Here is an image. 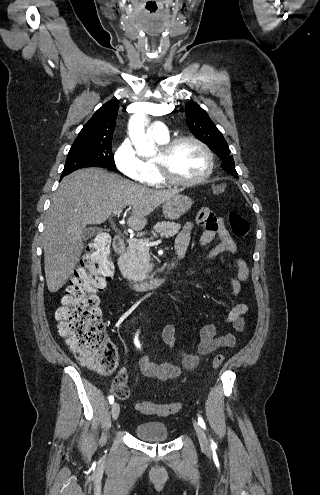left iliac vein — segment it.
<instances>
[{
	"label": "left iliac vein",
	"instance_id": "left-iliac-vein-1",
	"mask_svg": "<svg viewBox=\"0 0 320 495\" xmlns=\"http://www.w3.org/2000/svg\"><path fill=\"white\" fill-rule=\"evenodd\" d=\"M193 426H194V429L196 431V434H197L201 448L204 451H209L210 450V444H209V441L207 439V436H206L204 430L196 421H193Z\"/></svg>",
	"mask_w": 320,
	"mask_h": 495
}]
</instances>
